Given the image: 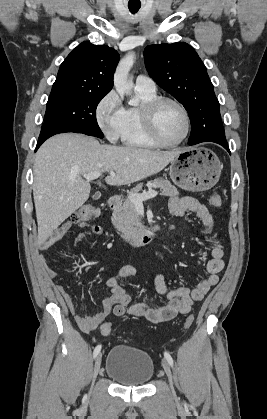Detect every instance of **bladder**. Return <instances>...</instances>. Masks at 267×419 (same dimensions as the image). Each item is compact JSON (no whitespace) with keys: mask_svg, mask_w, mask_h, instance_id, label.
Masks as SVG:
<instances>
[{"mask_svg":"<svg viewBox=\"0 0 267 419\" xmlns=\"http://www.w3.org/2000/svg\"><path fill=\"white\" fill-rule=\"evenodd\" d=\"M105 371L120 385L143 386L154 375V363L145 351L127 345H116L108 353Z\"/></svg>","mask_w":267,"mask_h":419,"instance_id":"1","label":"bladder"}]
</instances>
